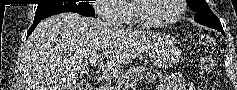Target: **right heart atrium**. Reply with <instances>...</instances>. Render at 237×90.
<instances>
[{
  "mask_svg": "<svg viewBox=\"0 0 237 90\" xmlns=\"http://www.w3.org/2000/svg\"><path fill=\"white\" fill-rule=\"evenodd\" d=\"M121 3H123V0H95L90 6V10L100 12V17L103 20H120L121 16L113 11L115 6H121Z\"/></svg>",
  "mask_w": 237,
  "mask_h": 90,
  "instance_id": "d8ad5b80",
  "label": "right heart atrium"
}]
</instances>
